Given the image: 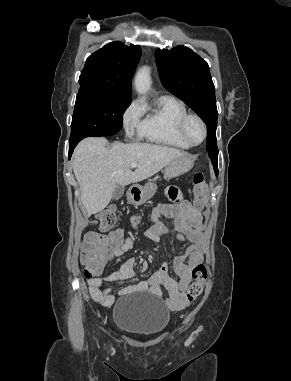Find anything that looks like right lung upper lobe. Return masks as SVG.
<instances>
[{
	"label": "right lung upper lobe",
	"instance_id": "obj_1",
	"mask_svg": "<svg viewBox=\"0 0 291 381\" xmlns=\"http://www.w3.org/2000/svg\"><path fill=\"white\" fill-rule=\"evenodd\" d=\"M140 57L139 46L128 47L119 41L105 45L87 58L79 91H102L130 98V81Z\"/></svg>",
	"mask_w": 291,
	"mask_h": 381
}]
</instances>
